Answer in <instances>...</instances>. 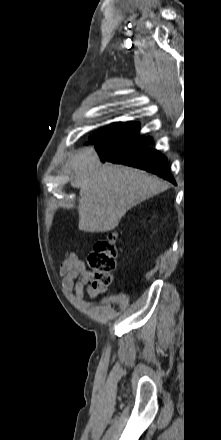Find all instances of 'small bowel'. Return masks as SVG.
Returning a JSON list of instances; mask_svg holds the SVG:
<instances>
[{
    "mask_svg": "<svg viewBox=\"0 0 221 440\" xmlns=\"http://www.w3.org/2000/svg\"><path fill=\"white\" fill-rule=\"evenodd\" d=\"M62 287L66 293L75 291L78 299L83 300L87 291L91 300L95 301L107 292L106 286L100 284L90 272L84 261L74 252H67L59 267Z\"/></svg>",
    "mask_w": 221,
    "mask_h": 440,
    "instance_id": "small-bowel-1",
    "label": "small bowel"
}]
</instances>
